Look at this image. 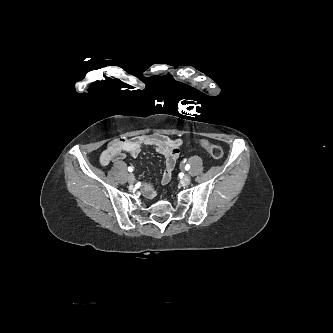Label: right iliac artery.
I'll use <instances>...</instances> for the list:
<instances>
[{
    "instance_id": "82829eb1",
    "label": "right iliac artery",
    "mask_w": 333,
    "mask_h": 333,
    "mask_svg": "<svg viewBox=\"0 0 333 333\" xmlns=\"http://www.w3.org/2000/svg\"><path fill=\"white\" fill-rule=\"evenodd\" d=\"M128 171H129V172H132V171H133V168H132V167H128Z\"/></svg>"
}]
</instances>
